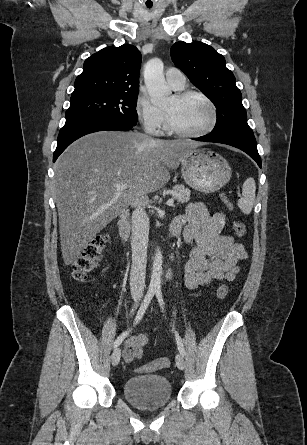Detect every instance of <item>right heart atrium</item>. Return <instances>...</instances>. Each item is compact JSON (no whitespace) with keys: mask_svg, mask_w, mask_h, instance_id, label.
Returning <instances> with one entry per match:
<instances>
[{"mask_svg":"<svg viewBox=\"0 0 307 445\" xmlns=\"http://www.w3.org/2000/svg\"><path fill=\"white\" fill-rule=\"evenodd\" d=\"M135 113L143 129L153 135L161 134L164 127V116L145 94H140L135 101Z\"/></svg>","mask_w":307,"mask_h":445,"instance_id":"obj_1","label":"right heart atrium"}]
</instances>
